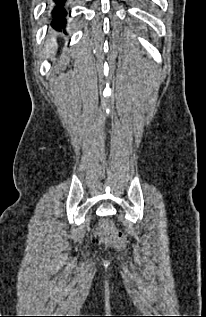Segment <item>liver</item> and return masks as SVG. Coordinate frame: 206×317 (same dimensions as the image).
Masks as SVG:
<instances>
[{
  "instance_id": "liver-1",
  "label": "liver",
  "mask_w": 206,
  "mask_h": 317,
  "mask_svg": "<svg viewBox=\"0 0 206 317\" xmlns=\"http://www.w3.org/2000/svg\"><path fill=\"white\" fill-rule=\"evenodd\" d=\"M57 47L58 46H57L56 39L54 37H51L50 40L47 41L44 47V51H43L44 57L49 58L50 56L55 54Z\"/></svg>"
}]
</instances>
